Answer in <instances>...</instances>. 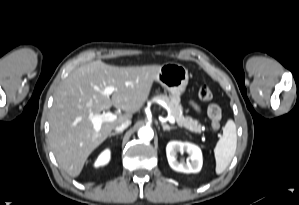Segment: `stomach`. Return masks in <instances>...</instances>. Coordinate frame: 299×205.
I'll use <instances>...</instances> for the list:
<instances>
[{"label": "stomach", "mask_w": 299, "mask_h": 205, "mask_svg": "<svg viewBox=\"0 0 299 205\" xmlns=\"http://www.w3.org/2000/svg\"><path fill=\"white\" fill-rule=\"evenodd\" d=\"M188 80V70L183 65L165 63L161 65L156 81L173 96L180 97L185 92Z\"/></svg>", "instance_id": "0dacf381"}]
</instances>
